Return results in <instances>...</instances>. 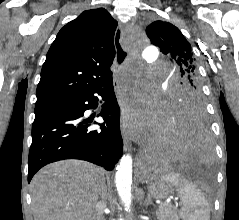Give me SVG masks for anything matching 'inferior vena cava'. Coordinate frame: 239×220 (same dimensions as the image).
<instances>
[{
	"label": "inferior vena cava",
	"mask_w": 239,
	"mask_h": 220,
	"mask_svg": "<svg viewBox=\"0 0 239 220\" xmlns=\"http://www.w3.org/2000/svg\"><path fill=\"white\" fill-rule=\"evenodd\" d=\"M106 207V202L105 200L102 198L101 201L96 203V209H97V220H105L104 216H103V210Z\"/></svg>",
	"instance_id": "1"
}]
</instances>
